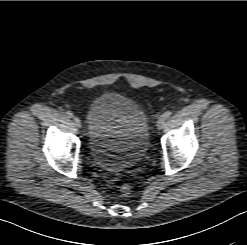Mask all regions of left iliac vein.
<instances>
[{
  "instance_id": "left-iliac-vein-1",
  "label": "left iliac vein",
  "mask_w": 247,
  "mask_h": 245,
  "mask_svg": "<svg viewBox=\"0 0 247 245\" xmlns=\"http://www.w3.org/2000/svg\"><path fill=\"white\" fill-rule=\"evenodd\" d=\"M165 120L160 116L157 120V128L161 130L164 127Z\"/></svg>"
}]
</instances>
